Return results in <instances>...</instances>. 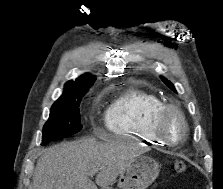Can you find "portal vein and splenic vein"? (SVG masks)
Masks as SVG:
<instances>
[{
	"instance_id": "obj_1",
	"label": "portal vein and splenic vein",
	"mask_w": 223,
	"mask_h": 189,
	"mask_svg": "<svg viewBox=\"0 0 223 189\" xmlns=\"http://www.w3.org/2000/svg\"><path fill=\"white\" fill-rule=\"evenodd\" d=\"M96 172H97V170H93V171L90 172V175L92 176V175H94Z\"/></svg>"
}]
</instances>
